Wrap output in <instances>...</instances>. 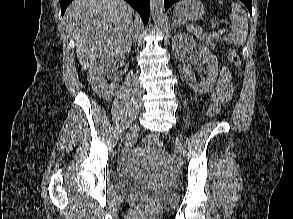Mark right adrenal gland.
<instances>
[{"instance_id": "1", "label": "right adrenal gland", "mask_w": 293, "mask_h": 219, "mask_svg": "<svg viewBox=\"0 0 293 219\" xmlns=\"http://www.w3.org/2000/svg\"><path fill=\"white\" fill-rule=\"evenodd\" d=\"M134 30V28H133V24H132V31ZM134 39V34L132 35V40Z\"/></svg>"}]
</instances>
